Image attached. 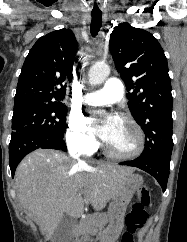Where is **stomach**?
I'll list each match as a JSON object with an SVG mask.
<instances>
[{"label": "stomach", "mask_w": 187, "mask_h": 242, "mask_svg": "<svg viewBox=\"0 0 187 242\" xmlns=\"http://www.w3.org/2000/svg\"><path fill=\"white\" fill-rule=\"evenodd\" d=\"M143 184L142 176L130 174L125 188L112 198L107 213V227L99 232L100 242H116L124 228V217L133 195Z\"/></svg>", "instance_id": "stomach-1"}]
</instances>
